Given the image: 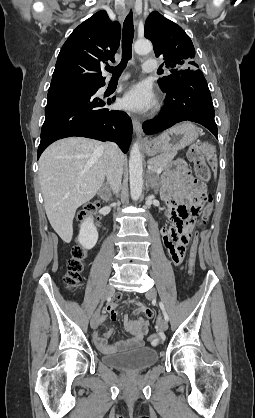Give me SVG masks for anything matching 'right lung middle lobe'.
<instances>
[{"instance_id":"obj_1","label":"right lung middle lobe","mask_w":255,"mask_h":418,"mask_svg":"<svg viewBox=\"0 0 255 418\" xmlns=\"http://www.w3.org/2000/svg\"><path fill=\"white\" fill-rule=\"evenodd\" d=\"M97 84H76V85H72V86H95Z\"/></svg>"}]
</instances>
